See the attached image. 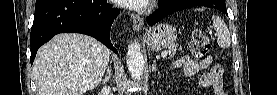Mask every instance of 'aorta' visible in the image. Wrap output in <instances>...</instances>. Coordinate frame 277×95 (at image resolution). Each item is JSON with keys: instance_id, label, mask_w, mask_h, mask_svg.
<instances>
[{"instance_id": "obj_1", "label": "aorta", "mask_w": 277, "mask_h": 95, "mask_svg": "<svg viewBox=\"0 0 277 95\" xmlns=\"http://www.w3.org/2000/svg\"><path fill=\"white\" fill-rule=\"evenodd\" d=\"M126 63L131 77L140 81L144 72V57L140 44L134 40L128 46Z\"/></svg>"}]
</instances>
